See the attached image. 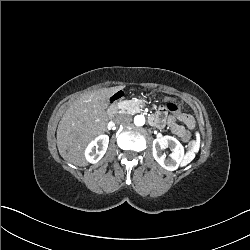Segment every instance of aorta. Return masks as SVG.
<instances>
[{
	"instance_id": "1",
	"label": "aorta",
	"mask_w": 250,
	"mask_h": 250,
	"mask_svg": "<svg viewBox=\"0 0 250 250\" xmlns=\"http://www.w3.org/2000/svg\"><path fill=\"white\" fill-rule=\"evenodd\" d=\"M134 124L136 126H143L145 124V116L144 115H136L134 117Z\"/></svg>"
}]
</instances>
